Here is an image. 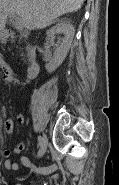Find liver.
<instances>
[{
  "label": "liver",
  "instance_id": "liver-1",
  "mask_svg": "<svg viewBox=\"0 0 119 185\" xmlns=\"http://www.w3.org/2000/svg\"><path fill=\"white\" fill-rule=\"evenodd\" d=\"M84 0H0V30L6 25V14L21 18L27 29H43L58 17L78 11Z\"/></svg>",
  "mask_w": 119,
  "mask_h": 185
}]
</instances>
